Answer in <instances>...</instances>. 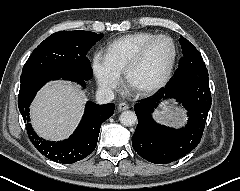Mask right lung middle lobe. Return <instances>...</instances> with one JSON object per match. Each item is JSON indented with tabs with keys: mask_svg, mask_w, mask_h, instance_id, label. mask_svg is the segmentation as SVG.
<instances>
[{
	"mask_svg": "<svg viewBox=\"0 0 240 191\" xmlns=\"http://www.w3.org/2000/svg\"><path fill=\"white\" fill-rule=\"evenodd\" d=\"M102 37L82 30L56 32L35 48L22 73L56 69L89 80L92 68L86 54Z\"/></svg>",
	"mask_w": 240,
	"mask_h": 191,
	"instance_id": "dd1d6c3e",
	"label": "right lung middle lobe"
}]
</instances>
